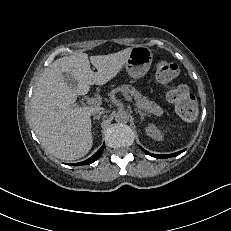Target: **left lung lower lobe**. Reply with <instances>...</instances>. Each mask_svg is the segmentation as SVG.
<instances>
[{
  "label": "left lung lower lobe",
  "mask_w": 231,
  "mask_h": 231,
  "mask_svg": "<svg viewBox=\"0 0 231 231\" xmlns=\"http://www.w3.org/2000/svg\"><path fill=\"white\" fill-rule=\"evenodd\" d=\"M145 153H147L148 155H151L152 157H155V158H170V157H174V156H177L179 155L180 153H182L183 151H179V152H176V153H173V154H168V155H157V154H152V153H149L147 151H145L144 149H142Z\"/></svg>",
  "instance_id": "1"
}]
</instances>
